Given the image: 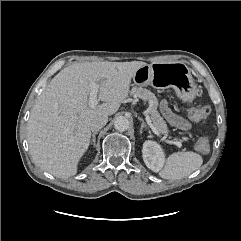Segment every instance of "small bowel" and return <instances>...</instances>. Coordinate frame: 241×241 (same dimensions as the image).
I'll list each match as a JSON object with an SVG mask.
<instances>
[{
  "mask_svg": "<svg viewBox=\"0 0 241 241\" xmlns=\"http://www.w3.org/2000/svg\"><path fill=\"white\" fill-rule=\"evenodd\" d=\"M160 108L163 116L171 125L181 130H188L190 128V123L187 120L173 113L166 101L161 102Z\"/></svg>",
  "mask_w": 241,
  "mask_h": 241,
  "instance_id": "obj_1",
  "label": "small bowel"
}]
</instances>
